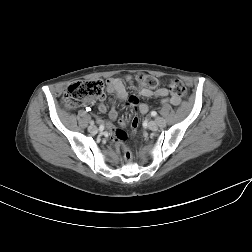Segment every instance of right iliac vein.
<instances>
[{"instance_id":"right-iliac-vein-1","label":"right iliac vein","mask_w":252,"mask_h":252,"mask_svg":"<svg viewBox=\"0 0 252 252\" xmlns=\"http://www.w3.org/2000/svg\"><path fill=\"white\" fill-rule=\"evenodd\" d=\"M88 131H89L90 133H92V134H95V133H97L98 128H97L95 125H90V126L88 127Z\"/></svg>"}]
</instances>
